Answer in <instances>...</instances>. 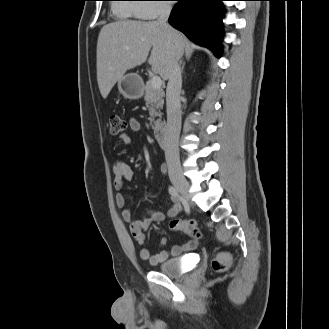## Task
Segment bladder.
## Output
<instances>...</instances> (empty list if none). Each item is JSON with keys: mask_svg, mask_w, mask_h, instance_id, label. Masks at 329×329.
I'll use <instances>...</instances> for the list:
<instances>
[{"mask_svg": "<svg viewBox=\"0 0 329 329\" xmlns=\"http://www.w3.org/2000/svg\"><path fill=\"white\" fill-rule=\"evenodd\" d=\"M185 256L170 257L158 264L157 271L167 276L179 277L185 273Z\"/></svg>", "mask_w": 329, "mask_h": 329, "instance_id": "1", "label": "bladder"}]
</instances>
